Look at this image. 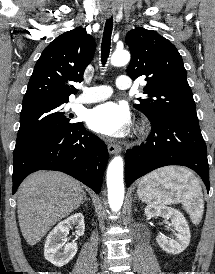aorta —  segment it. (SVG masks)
Returning a JSON list of instances; mask_svg holds the SVG:
<instances>
[{
    "label": "aorta",
    "mask_w": 215,
    "mask_h": 274,
    "mask_svg": "<svg viewBox=\"0 0 215 274\" xmlns=\"http://www.w3.org/2000/svg\"><path fill=\"white\" fill-rule=\"evenodd\" d=\"M130 61V54L126 50H116L111 57V64L123 66ZM108 202L112 211H118L124 200L123 159L116 156L107 170Z\"/></svg>",
    "instance_id": "1"
}]
</instances>
